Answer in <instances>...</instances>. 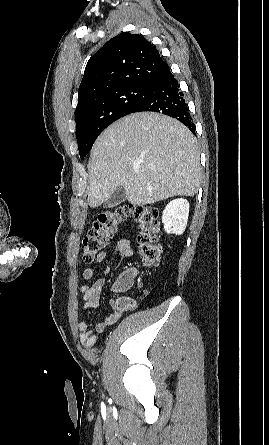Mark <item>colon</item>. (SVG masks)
Segmentation results:
<instances>
[{"label":"colon","instance_id":"obj_1","mask_svg":"<svg viewBox=\"0 0 269 445\" xmlns=\"http://www.w3.org/2000/svg\"><path fill=\"white\" fill-rule=\"evenodd\" d=\"M133 218L138 225V244L141 260L146 265H155L159 261L158 245L159 220L158 210L151 205H122L101 212L81 244L82 261L92 263L103 248L117 233L120 225ZM129 276L114 284L116 292L129 289L132 285Z\"/></svg>","mask_w":269,"mask_h":445}]
</instances>
